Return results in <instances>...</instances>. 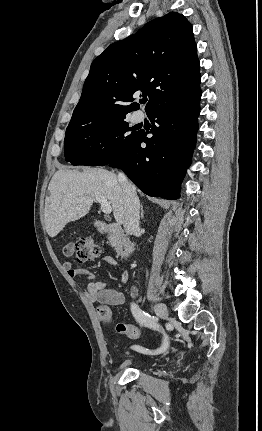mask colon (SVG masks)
Masks as SVG:
<instances>
[{"instance_id": "colon-1", "label": "colon", "mask_w": 262, "mask_h": 431, "mask_svg": "<svg viewBox=\"0 0 262 431\" xmlns=\"http://www.w3.org/2000/svg\"><path fill=\"white\" fill-rule=\"evenodd\" d=\"M63 253L65 256L74 257L79 263L90 262L96 259L100 253L99 247L88 238L75 239L68 242L64 248ZM102 322L106 324H112L113 320L108 316L106 311L99 314ZM117 331L121 334L127 335L131 339H137L140 337L141 332L135 326H127L124 324L117 325Z\"/></svg>"}]
</instances>
